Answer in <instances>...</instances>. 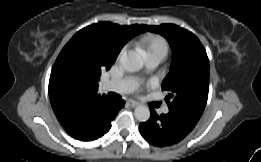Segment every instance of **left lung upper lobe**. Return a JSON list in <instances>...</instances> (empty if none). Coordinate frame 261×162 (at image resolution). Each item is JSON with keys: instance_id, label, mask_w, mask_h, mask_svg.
<instances>
[{"instance_id": "obj_1", "label": "left lung upper lobe", "mask_w": 261, "mask_h": 162, "mask_svg": "<svg viewBox=\"0 0 261 162\" xmlns=\"http://www.w3.org/2000/svg\"><path fill=\"white\" fill-rule=\"evenodd\" d=\"M142 27L164 36L173 50L170 72L162 83V89L169 91V109H182L200 118L209 90V60L203 45L193 33L177 25Z\"/></svg>"}]
</instances>
